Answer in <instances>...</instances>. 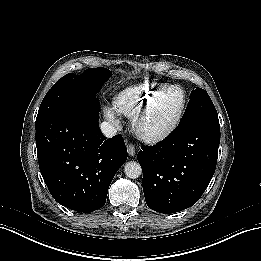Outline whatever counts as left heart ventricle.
Here are the masks:
<instances>
[{
  "instance_id": "obj_1",
  "label": "left heart ventricle",
  "mask_w": 261,
  "mask_h": 261,
  "mask_svg": "<svg viewBox=\"0 0 261 261\" xmlns=\"http://www.w3.org/2000/svg\"><path fill=\"white\" fill-rule=\"evenodd\" d=\"M179 104V98L176 92H169L166 96H163L159 100V104L156 105L153 115L149 122H153L156 125H165L166 122L174 115Z\"/></svg>"
}]
</instances>
